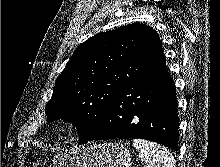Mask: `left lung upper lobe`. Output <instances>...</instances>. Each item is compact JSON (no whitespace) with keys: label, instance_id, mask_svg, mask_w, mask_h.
Returning <instances> with one entry per match:
<instances>
[{"label":"left lung upper lobe","instance_id":"obj_1","mask_svg":"<svg viewBox=\"0 0 220 167\" xmlns=\"http://www.w3.org/2000/svg\"><path fill=\"white\" fill-rule=\"evenodd\" d=\"M164 61L160 37L147 25L94 35L76 49L57 79L45 109L47 121L73 122L79 142L90 138L118 90Z\"/></svg>","mask_w":220,"mask_h":167}]
</instances>
